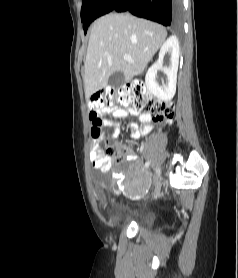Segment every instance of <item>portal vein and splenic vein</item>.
<instances>
[{
    "label": "portal vein and splenic vein",
    "mask_w": 238,
    "mask_h": 278,
    "mask_svg": "<svg viewBox=\"0 0 238 278\" xmlns=\"http://www.w3.org/2000/svg\"><path fill=\"white\" fill-rule=\"evenodd\" d=\"M124 60L128 61V62H133V59H132V57L129 54H125L124 55Z\"/></svg>",
    "instance_id": "18ae733b"
}]
</instances>
